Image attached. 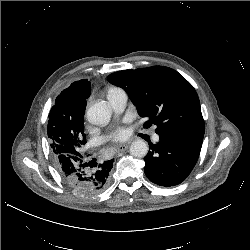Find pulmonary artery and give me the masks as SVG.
I'll list each match as a JSON object with an SVG mask.
<instances>
[{
    "label": "pulmonary artery",
    "instance_id": "e3ab8cb5",
    "mask_svg": "<svg viewBox=\"0 0 250 250\" xmlns=\"http://www.w3.org/2000/svg\"><path fill=\"white\" fill-rule=\"evenodd\" d=\"M107 98L114 112L121 113L125 109L128 97L124 90L112 89L109 91ZM153 140L157 142L159 136L154 135Z\"/></svg>",
    "mask_w": 250,
    "mask_h": 250
}]
</instances>
